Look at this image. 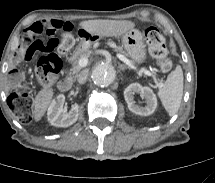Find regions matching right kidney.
Returning <instances> with one entry per match:
<instances>
[{
	"mask_svg": "<svg viewBox=\"0 0 215 183\" xmlns=\"http://www.w3.org/2000/svg\"><path fill=\"white\" fill-rule=\"evenodd\" d=\"M65 96L58 95L48 108V121L55 127H69L74 124L79 115V105L74 104L69 112L63 109Z\"/></svg>",
	"mask_w": 215,
	"mask_h": 183,
	"instance_id": "obj_1",
	"label": "right kidney"
}]
</instances>
